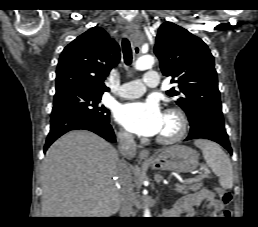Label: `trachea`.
Masks as SVG:
<instances>
[{
    "label": "trachea",
    "instance_id": "trachea-1",
    "mask_svg": "<svg viewBox=\"0 0 258 227\" xmlns=\"http://www.w3.org/2000/svg\"><path fill=\"white\" fill-rule=\"evenodd\" d=\"M122 51L124 55V62L126 65H130L132 62V50L128 39L124 38L122 41Z\"/></svg>",
    "mask_w": 258,
    "mask_h": 227
}]
</instances>
